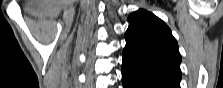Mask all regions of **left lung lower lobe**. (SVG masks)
I'll list each match as a JSON object with an SVG mask.
<instances>
[{
	"instance_id": "0a47b994",
	"label": "left lung lower lobe",
	"mask_w": 223,
	"mask_h": 88,
	"mask_svg": "<svg viewBox=\"0 0 223 88\" xmlns=\"http://www.w3.org/2000/svg\"><path fill=\"white\" fill-rule=\"evenodd\" d=\"M124 88H180L179 83L122 65Z\"/></svg>"
}]
</instances>
